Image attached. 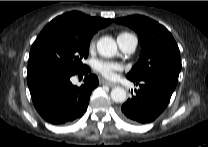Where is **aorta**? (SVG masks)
<instances>
[{
    "label": "aorta",
    "instance_id": "762f6f07",
    "mask_svg": "<svg viewBox=\"0 0 208 147\" xmlns=\"http://www.w3.org/2000/svg\"><path fill=\"white\" fill-rule=\"evenodd\" d=\"M97 51L103 57H114L118 53V48L115 40L111 37L104 36L97 42ZM126 91L122 87H115L111 91V99L116 103H123L126 101Z\"/></svg>",
    "mask_w": 208,
    "mask_h": 147
}]
</instances>
